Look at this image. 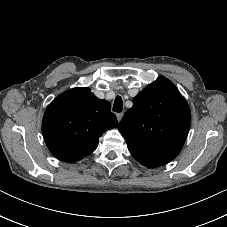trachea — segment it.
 <instances>
[{
	"instance_id": "trachea-1",
	"label": "trachea",
	"mask_w": 227,
	"mask_h": 227,
	"mask_svg": "<svg viewBox=\"0 0 227 227\" xmlns=\"http://www.w3.org/2000/svg\"><path fill=\"white\" fill-rule=\"evenodd\" d=\"M122 109H123V101H122V98L120 96H117L115 98V101H114L113 111L114 112H122Z\"/></svg>"
}]
</instances>
